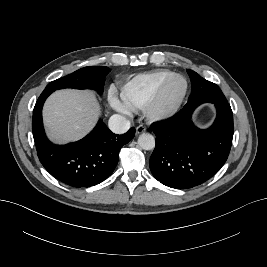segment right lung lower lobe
I'll return each mask as SVG.
<instances>
[{
	"label": "right lung lower lobe",
	"instance_id": "98d812e1",
	"mask_svg": "<svg viewBox=\"0 0 267 267\" xmlns=\"http://www.w3.org/2000/svg\"><path fill=\"white\" fill-rule=\"evenodd\" d=\"M51 93L43 91L33 111V137L40 162L52 176L67 185L79 188L101 183L113 173L119 150L133 139L135 129L116 135L100 120L85 138L55 145L47 139L42 123V107Z\"/></svg>",
	"mask_w": 267,
	"mask_h": 267
}]
</instances>
